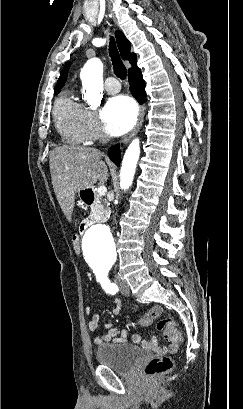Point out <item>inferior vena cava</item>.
<instances>
[{
  "label": "inferior vena cava",
  "instance_id": "inferior-vena-cava-1",
  "mask_svg": "<svg viewBox=\"0 0 243 409\" xmlns=\"http://www.w3.org/2000/svg\"><path fill=\"white\" fill-rule=\"evenodd\" d=\"M108 140H109V139H108V137H106V136L102 137V139H101L102 143H106Z\"/></svg>",
  "mask_w": 243,
  "mask_h": 409
}]
</instances>
